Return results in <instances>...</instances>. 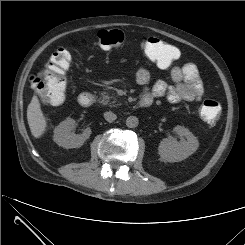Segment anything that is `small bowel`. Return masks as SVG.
I'll use <instances>...</instances> for the list:
<instances>
[{"mask_svg":"<svg viewBox=\"0 0 245 245\" xmlns=\"http://www.w3.org/2000/svg\"><path fill=\"white\" fill-rule=\"evenodd\" d=\"M172 83L159 80L150 85L151 75L147 68L140 67L136 81L144 89L143 98H165L170 103L192 102L199 100L203 94V83L198 68L192 63L173 66L170 69Z\"/></svg>","mask_w":245,"mask_h":245,"instance_id":"c3829d8e","label":"small bowel"}]
</instances>
